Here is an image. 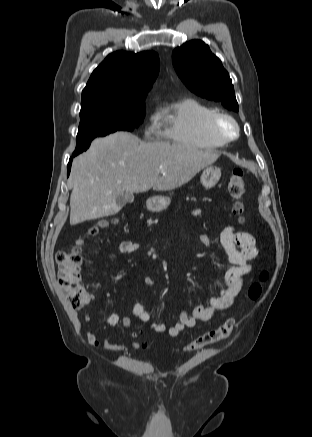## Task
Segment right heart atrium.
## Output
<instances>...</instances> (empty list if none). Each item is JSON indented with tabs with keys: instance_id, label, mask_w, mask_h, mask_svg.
I'll use <instances>...</instances> for the list:
<instances>
[{
	"instance_id": "right-heart-atrium-1",
	"label": "right heart atrium",
	"mask_w": 312,
	"mask_h": 437,
	"mask_svg": "<svg viewBox=\"0 0 312 437\" xmlns=\"http://www.w3.org/2000/svg\"><path fill=\"white\" fill-rule=\"evenodd\" d=\"M144 135L148 139H158L161 138V131L158 126V117L152 114L145 125Z\"/></svg>"
}]
</instances>
